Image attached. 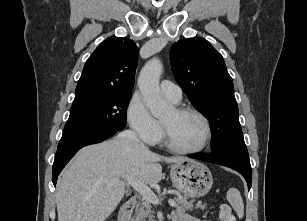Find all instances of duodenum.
<instances>
[{"instance_id":"obj_1","label":"duodenum","mask_w":307,"mask_h":221,"mask_svg":"<svg viewBox=\"0 0 307 221\" xmlns=\"http://www.w3.org/2000/svg\"><path fill=\"white\" fill-rule=\"evenodd\" d=\"M136 202L135 198H130L121 206L118 214V221H131V214Z\"/></svg>"}]
</instances>
